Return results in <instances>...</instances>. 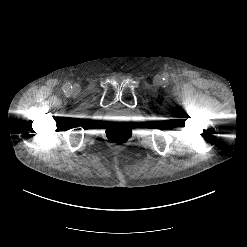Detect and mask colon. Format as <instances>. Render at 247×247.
Instances as JSON below:
<instances>
[{"instance_id": "5ec220e1", "label": "colon", "mask_w": 247, "mask_h": 247, "mask_svg": "<svg viewBox=\"0 0 247 247\" xmlns=\"http://www.w3.org/2000/svg\"><path fill=\"white\" fill-rule=\"evenodd\" d=\"M132 137L128 127L113 128L107 132V139L114 144L127 143Z\"/></svg>"}]
</instances>
